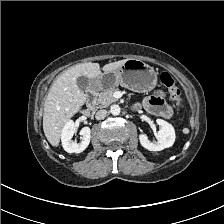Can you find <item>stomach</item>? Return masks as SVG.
<instances>
[{
    "label": "stomach",
    "mask_w": 224,
    "mask_h": 224,
    "mask_svg": "<svg viewBox=\"0 0 224 224\" xmlns=\"http://www.w3.org/2000/svg\"><path fill=\"white\" fill-rule=\"evenodd\" d=\"M157 84V72L153 67L138 59H127L114 71L103 72L93 80L98 90L121 85L135 92H149Z\"/></svg>",
    "instance_id": "stomach-1"
}]
</instances>
